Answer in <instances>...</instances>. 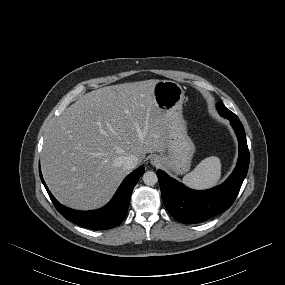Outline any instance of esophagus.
I'll use <instances>...</instances> for the list:
<instances>
[{
  "label": "esophagus",
  "mask_w": 285,
  "mask_h": 285,
  "mask_svg": "<svg viewBox=\"0 0 285 285\" xmlns=\"http://www.w3.org/2000/svg\"><path fill=\"white\" fill-rule=\"evenodd\" d=\"M150 163L153 165V166H157L161 163V159L159 156L157 155H154L150 158Z\"/></svg>",
  "instance_id": "1"
}]
</instances>
